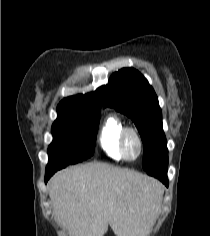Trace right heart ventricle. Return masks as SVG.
Listing matches in <instances>:
<instances>
[{
    "mask_svg": "<svg viewBox=\"0 0 210 236\" xmlns=\"http://www.w3.org/2000/svg\"><path fill=\"white\" fill-rule=\"evenodd\" d=\"M124 127V122L116 115H108L101 125L100 146L109 157L115 160L124 159L119 148V138Z\"/></svg>",
    "mask_w": 210,
    "mask_h": 236,
    "instance_id": "1",
    "label": "right heart ventricle"
}]
</instances>
